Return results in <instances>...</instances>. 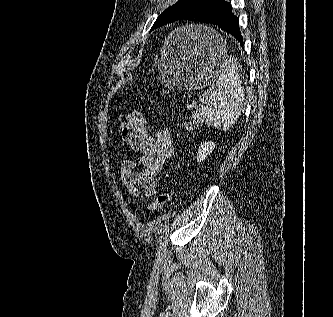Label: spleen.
Masks as SVG:
<instances>
[{
    "instance_id": "3e777b00",
    "label": "spleen",
    "mask_w": 333,
    "mask_h": 317,
    "mask_svg": "<svg viewBox=\"0 0 333 317\" xmlns=\"http://www.w3.org/2000/svg\"><path fill=\"white\" fill-rule=\"evenodd\" d=\"M196 32L199 26H188ZM211 39L225 48V41L215 30L206 28ZM208 37V38H209ZM238 64L231 58H225L222 68L212 86L200 96L202 107L192 114L193 120L217 129L231 128L241 114L244 101V89L241 85Z\"/></svg>"
}]
</instances>
